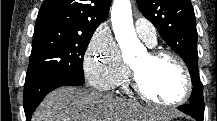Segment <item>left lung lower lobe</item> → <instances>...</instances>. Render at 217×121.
I'll use <instances>...</instances> for the list:
<instances>
[{
  "instance_id": "left-lung-lower-lobe-1",
  "label": "left lung lower lobe",
  "mask_w": 217,
  "mask_h": 121,
  "mask_svg": "<svg viewBox=\"0 0 217 121\" xmlns=\"http://www.w3.org/2000/svg\"><path fill=\"white\" fill-rule=\"evenodd\" d=\"M178 109H179L180 111L184 112L185 114H188L189 116L195 118L196 121H203L202 118H199V117L196 115V113H195L193 107H192L190 104L180 106V107H178Z\"/></svg>"
}]
</instances>
